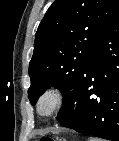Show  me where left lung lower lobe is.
<instances>
[{
    "label": "left lung lower lobe",
    "mask_w": 119,
    "mask_h": 141,
    "mask_svg": "<svg viewBox=\"0 0 119 141\" xmlns=\"http://www.w3.org/2000/svg\"><path fill=\"white\" fill-rule=\"evenodd\" d=\"M57 120L77 132L119 141V12L101 36Z\"/></svg>",
    "instance_id": "left-lung-lower-lobe-1"
}]
</instances>
